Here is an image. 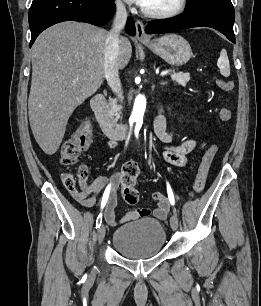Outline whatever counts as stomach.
I'll list each match as a JSON object with an SVG mask.
<instances>
[{"mask_svg":"<svg viewBox=\"0 0 261 306\" xmlns=\"http://www.w3.org/2000/svg\"><path fill=\"white\" fill-rule=\"evenodd\" d=\"M143 44L173 66L186 64L192 56L188 41L177 34H167L151 42H143Z\"/></svg>","mask_w":261,"mask_h":306,"instance_id":"stomach-1","label":"stomach"}]
</instances>
